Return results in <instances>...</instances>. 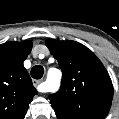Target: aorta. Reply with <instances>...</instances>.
Returning <instances> with one entry per match:
<instances>
[{"mask_svg": "<svg viewBox=\"0 0 119 119\" xmlns=\"http://www.w3.org/2000/svg\"><path fill=\"white\" fill-rule=\"evenodd\" d=\"M60 72L57 69H50L48 71L46 84L49 87V90L55 92L60 85Z\"/></svg>", "mask_w": 119, "mask_h": 119, "instance_id": "1", "label": "aorta"}]
</instances>
